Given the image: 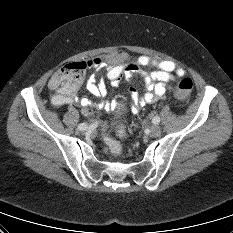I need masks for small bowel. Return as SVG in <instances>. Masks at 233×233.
Wrapping results in <instances>:
<instances>
[{"instance_id": "c3829d8e", "label": "small bowel", "mask_w": 233, "mask_h": 233, "mask_svg": "<svg viewBox=\"0 0 233 233\" xmlns=\"http://www.w3.org/2000/svg\"><path fill=\"white\" fill-rule=\"evenodd\" d=\"M87 63L90 68L106 70L107 77L111 80L112 84H117L123 75L126 77H130L134 74L140 76L144 83L143 90L138 92L133 86L129 89L132 109L134 111L162 98L172 88L170 82L173 81L175 77H181L185 74V71L181 67H178L173 61H159L148 56H140L134 61L128 62L126 55L123 53H111L104 58H93ZM148 66L154 68L150 73L142 70V68ZM48 86L50 89L54 90V94L51 96V103L56 108L79 103L83 107V114L88 115L89 107L95 105L86 96L78 97L77 91L71 93L62 91L55 85L53 76L50 78ZM86 87L95 97L105 98L108 93L104 82L99 81L96 77H91L87 81ZM117 102V100H113L97 104V106L111 109L116 106Z\"/></svg>"}]
</instances>
